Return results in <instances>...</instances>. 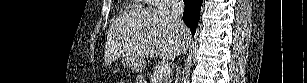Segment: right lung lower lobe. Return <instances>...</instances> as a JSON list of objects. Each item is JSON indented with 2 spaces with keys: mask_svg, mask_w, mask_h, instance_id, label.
I'll use <instances>...</instances> for the list:
<instances>
[{
  "mask_svg": "<svg viewBox=\"0 0 307 83\" xmlns=\"http://www.w3.org/2000/svg\"><path fill=\"white\" fill-rule=\"evenodd\" d=\"M184 3L183 21L189 26L192 35H194L200 18L202 0H184Z\"/></svg>",
  "mask_w": 307,
  "mask_h": 83,
  "instance_id": "right-lung-lower-lobe-1",
  "label": "right lung lower lobe"
}]
</instances>
